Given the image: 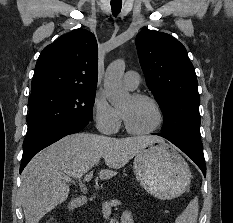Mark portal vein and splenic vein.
<instances>
[{
    "label": "portal vein and splenic vein",
    "mask_w": 233,
    "mask_h": 223,
    "mask_svg": "<svg viewBox=\"0 0 233 223\" xmlns=\"http://www.w3.org/2000/svg\"><path fill=\"white\" fill-rule=\"evenodd\" d=\"M93 177V173H87V175H85V177H83L82 181H90V179H92ZM63 179H65V181H68V183H73V179L72 177H69V175H64ZM121 203H119V201L113 202V201H105V205H119Z\"/></svg>",
    "instance_id": "18ae733b"
}]
</instances>
